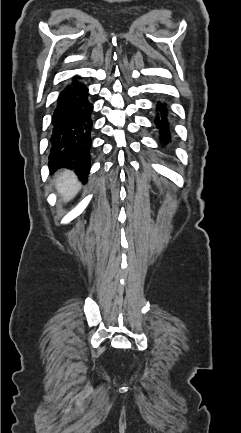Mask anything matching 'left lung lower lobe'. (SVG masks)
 I'll use <instances>...</instances> for the list:
<instances>
[{"mask_svg":"<svg viewBox=\"0 0 241 433\" xmlns=\"http://www.w3.org/2000/svg\"><path fill=\"white\" fill-rule=\"evenodd\" d=\"M155 124L160 134V144L167 145L171 142V122L168 117V109L165 103L158 101L156 104Z\"/></svg>","mask_w":241,"mask_h":433,"instance_id":"left-lung-lower-lobe-1","label":"left lung lower lobe"}]
</instances>
